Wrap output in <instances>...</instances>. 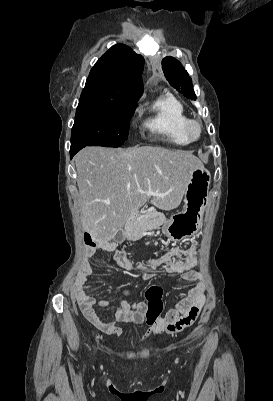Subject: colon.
<instances>
[{"instance_id": "1", "label": "colon", "mask_w": 273, "mask_h": 401, "mask_svg": "<svg viewBox=\"0 0 273 401\" xmlns=\"http://www.w3.org/2000/svg\"><path fill=\"white\" fill-rule=\"evenodd\" d=\"M89 257H95L96 251L89 250L87 252ZM81 276H89L91 270L89 268V263H84V267L79 270ZM74 285L76 287L72 290V295L74 297H96L97 290L93 284H86L85 278H76L74 280ZM145 296L147 297V306L145 310V322L148 326L156 325L157 321L163 316L164 311V291L160 285H151L146 288Z\"/></svg>"}]
</instances>
